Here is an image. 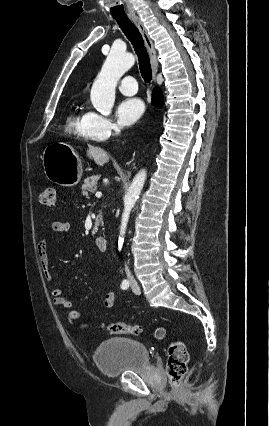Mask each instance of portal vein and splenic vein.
<instances>
[{
  "label": "portal vein and splenic vein",
  "instance_id": "18ae733b",
  "mask_svg": "<svg viewBox=\"0 0 269 426\" xmlns=\"http://www.w3.org/2000/svg\"><path fill=\"white\" fill-rule=\"evenodd\" d=\"M101 196H102V193H101V192H97V193H96V197H97V198H100Z\"/></svg>",
  "mask_w": 269,
  "mask_h": 426
}]
</instances>
